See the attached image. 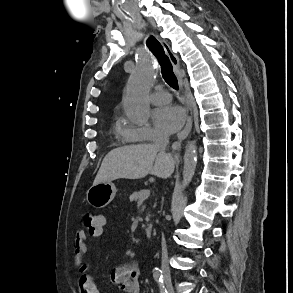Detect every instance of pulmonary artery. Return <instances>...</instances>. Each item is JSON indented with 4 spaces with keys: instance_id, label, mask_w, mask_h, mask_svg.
Instances as JSON below:
<instances>
[{
    "instance_id": "e3ab8cb5",
    "label": "pulmonary artery",
    "mask_w": 293,
    "mask_h": 293,
    "mask_svg": "<svg viewBox=\"0 0 293 293\" xmlns=\"http://www.w3.org/2000/svg\"><path fill=\"white\" fill-rule=\"evenodd\" d=\"M149 98L154 104H166L171 100V94L166 90L158 89Z\"/></svg>"
}]
</instances>
